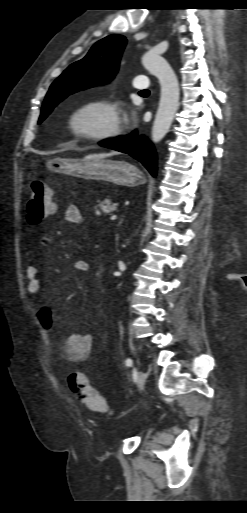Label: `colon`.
Here are the masks:
<instances>
[{
	"label": "colon",
	"mask_w": 247,
	"mask_h": 513,
	"mask_svg": "<svg viewBox=\"0 0 247 513\" xmlns=\"http://www.w3.org/2000/svg\"><path fill=\"white\" fill-rule=\"evenodd\" d=\"M56 206L53 191L43 179H35L30 186L26 203V217L31 225L41 223L47 216L53 214ZM68 384L79 400L93 411L109 414L110 408L106 399L90 385L83 372H71Z\"/></svg>",
	"instance_id": "5ec220e1"
}]
</instances>
